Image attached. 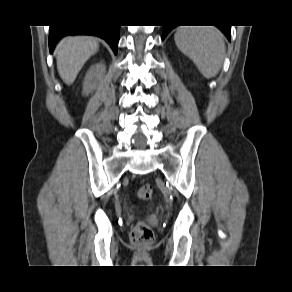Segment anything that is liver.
<instances>
[{
    "instance_id": "1",
    "label": "liver",
    "mask_w": 292,
    "mask_h": 292,
    "mask_svg": "<svg viewBox=\"0 0 292 292\" xmlns=\"http://www.w3.org/2000/svg\"><path fill=\"white\" fill-rule=\"evenodd\" d=\"M99 49L98 41L89 36H69L56 48L57 69L62 80L71 85L85 62Z\"/></svg>"
}]
</instances>
